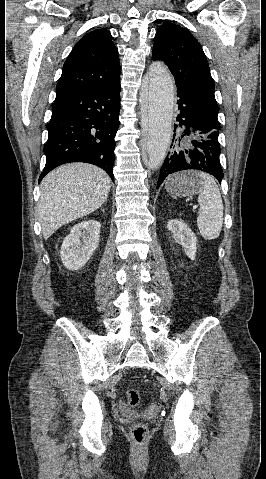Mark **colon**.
Segmentation results:
<instances>
[{"label":"colon","mask_w":266,"mask_h":479,"mask_svg":"<svg viewBox=\"0 0 266 479\" xmlns=\"http://www.w3.org/2000/svg\"><path fill=\"white\" fill-rule=\"evenodd\" d=\"M126 400L129 406L138 407L141 403V395L138 390L127 391ZM147 427L143 423H136L131 428V437L135 444L141 445L147 437Z\"/></svg>","instance_id":"1"}]
</instances>
